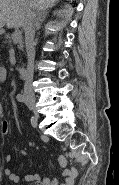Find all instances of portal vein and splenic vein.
Returning <instances> with one entry per match:
<instances>
[{
  "label": "portal vein and splenic vein",
  "mask_w": 119,
  "mask_h": 185,
  "mask_svg": "<svg viewBox=\"0 0 119 185\" xmlns=\"http://www.w3.org/2000/svg\"><path fill=\"white\" fill-rule=\"evenodd\" d=\"M13 41L14 42H17L21 39V32L16 30L14 33H13Z\"/></svg>",
  "instance_id": "1"
}]
</instances>
